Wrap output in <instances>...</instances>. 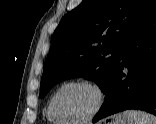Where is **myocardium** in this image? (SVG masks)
Segmentation results:
<instances>
[{"label":"myocardium","mask_w":156,"mask_h":124,"mask_svg":"<svg viewBox=\"0 0 156 124\" xmlns=\"http://www.w3.org/2000/svg\"><path fill=\"white\" fill-rule=\"evenodd\" d=\"M71 86L88 87L95 92L96 97H97V103L94 109L87 116L80 118V119H74V120L66 119L61 114H59L56 109V101H57L58 96L64 89L71 87ZM105 102H106V93L99 83L92 81V80H87V79H77V80L68 81L58 88V90L54 93V95L51 98L50 108H51L53 115L56 118L61 119L65 123L81 124V123H86L94 119L99 114V112L103 109Z\"/></svg>","instance_id":"myocardium-1"}]
</instances>
